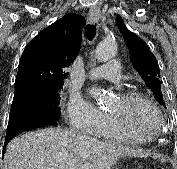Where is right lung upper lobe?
Listing matches in <instances>:
<instances>
[{
    "instance_id": "obj_1",
    "label": "right lung upper lobe",
    "mask_w": 177,
    "mask_h": 169,
    "mask_svg": "<svg viewBox=\"0 0 177 169\" xmlns=\"http://www.w3.org/2000/svg\"><path fill=\"white\" fill-rule=\"evenodd\" d=\"M77 14H67L41 31L25 47L18 66L15 94L30 85L62 86L68 67L81 46L82 33Z\"/></svg>"
}]
</instances>
